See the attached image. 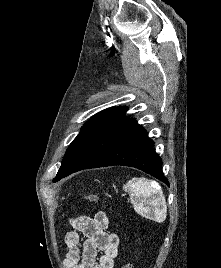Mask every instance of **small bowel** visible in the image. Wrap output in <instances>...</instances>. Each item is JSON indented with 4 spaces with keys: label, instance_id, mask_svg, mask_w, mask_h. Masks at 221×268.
Listing matches in <instances>:
<instances>
[{
    "label": "small bowel",
    "instance_id": "small-bowel-1",
    "mask_svg": "<svg viewBox=\"0 0 221 268\" xmlns=\"http://www.w3.org/2000/svg\"><path fill=\"white\" fill-rule=\"evenodd\" d=\"M70 223L73 230L65 236V268H113L119 238L110 230L107 214L77 216Z\"/></svg>",
    "mask_w": 221,
    "mask_h": 268
}]
</instances>
